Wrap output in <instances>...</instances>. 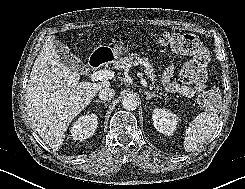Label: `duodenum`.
I'll return each instance as SVG.
<instances>
[{"mask_svg":"<svg viewBox=\"0 0 245 189\" xmlns=\"http://www.w3.org/2000/svg\"><path fill=\"white\" fill-rule=\"evenodd\" d=\"M113 58V54L109 50H99L96 51L90 57V65L94 68H98L106 62L111 61Z\"/></svg>","mask_w":245,"mask_h":189,"instance_id":"obj_1","label":"duodenum"}]
</instances>
